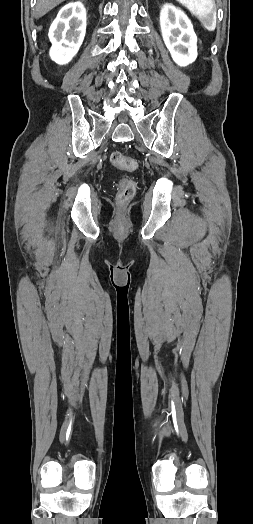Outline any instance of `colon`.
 I'll return each instance as SVG.
<instances>
[{"mask_svg": "<svg viewBox=\"0 0 253 524\" xmlns=\"http://www.w3.org/2000/svg\"><path fill=\"white\" fill-rule=\"evenodd\" d=\"M110 162L113 166L132 171L137 168V162L133 158L126 157L116 151L110 155ZM136 184L132 179L124 178L119 185L117 201L121 204L127 203L135 194Z\"/></svg>", "mask_w": 253, "mask_h": 524, "instance_id": "5ec220e1", "label": "colon"}]
</instances>
